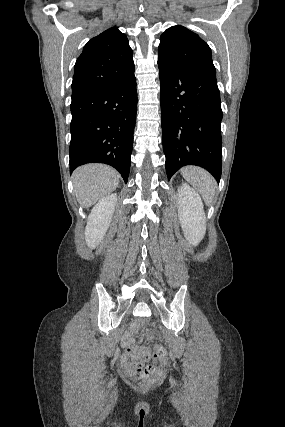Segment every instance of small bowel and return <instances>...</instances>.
I'll return each instance as SVG.
<instances>
[{
  "instance_id": "c3829d8e",
  "label": "small bowel",
  "mask_w": 285,
  "mask_h": 427,
  "mask_svg": "<svg viewBox=\"0 0 285 427\" xmlns=\"http://www.w3.org/2000/svg\"><path fill=\"white\" fill-rule=\"evenodd\" d=\"M122 364L127 368L129 373H132L134 370L135 361L130 359L128 356L123 355L121 358Z\"/></svg>"
}]
</instances>
